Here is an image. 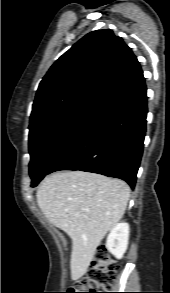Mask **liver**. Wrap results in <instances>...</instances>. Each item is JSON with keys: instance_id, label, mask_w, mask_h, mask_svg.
<instances>
[{"instance_id": "obj_1", "label": "liver", "mask_w": 170, "mask_h": 293, "mask_svg": "<svg viewBox=\"0 0 170 293\" xmlns=\"http://www.w3.org/2000/svg\"><path fill=\"white\" fill-rule=\"evenodd\" d=\"M45 217L72 240L71 278L80 279L107 232L125 213L130 196L126 182L83 172L47 176L36 193Z\"/></svg>"}]
</instances>
